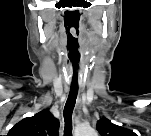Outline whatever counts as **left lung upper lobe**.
Wrapping results in <instances>:
<instances>
[{"mask_svg":"<svg viewBox=\"0 0 151 136\" xmlns=\"http://www.w3.org/2000/svg\"><path fill=\"white\" fill-rule=\"evenodd\" d=\"M97 130L101 136H131L132 131L111 123L107 118L97 122Z\"/></svg>","mask_w":151,"mask_h":136,"instance_id":"left-lung-upper-lobe-1","label":"left lung upper lobe"}]
</instances>
